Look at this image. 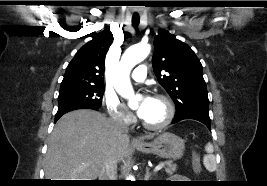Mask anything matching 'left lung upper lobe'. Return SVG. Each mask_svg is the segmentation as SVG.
<instances>
[{"instance_id":"left-lung-upper-lobe-1","label":"left lung upper lobe","mask_w":267,"mask_h":186,"mask_svg":"<svg viewBox=\"0 0 267 186\" xmlns=\"http://www.w3.org/2000/svg\"><path fill=\"white\" fill-rule=\"evenodd\" d=\"M153 70L176 104V115L208 114L209 100L202 65L193 50L163 31L154 39Z\"/></svg>"}]
</instances>
